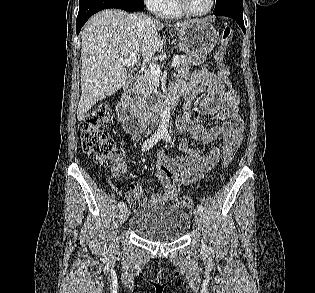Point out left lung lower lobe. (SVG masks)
Returning <instances> with one entry per match:
<instances>
[{
  "instance_id": "left-lung-lower-lobe-1",
  "label": "left lung lower lobe",
  "mask_w": 315,
  "mask_h": 293,
  "mask_svg": "<svg viewBox=\"0 0 315 293\" xmlns=\"http://www.w3.org/2000/svg\"><path fill=\"white\" fill-rule=\"evenodd\" d=\"M215 16H227L232 19H234L239 26L242 28L243 32L245 33V27H244V22H243V12H238V11H224L218 14H214Z\"/></svg>"
}]
</instances>
